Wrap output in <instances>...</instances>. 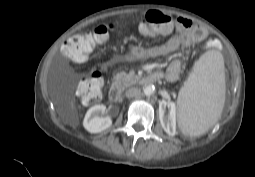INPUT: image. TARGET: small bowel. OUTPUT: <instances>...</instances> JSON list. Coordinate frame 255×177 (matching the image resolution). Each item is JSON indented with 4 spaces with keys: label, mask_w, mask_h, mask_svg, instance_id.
Wrapping results in <instances>:
<instances>
[{
    "label": "small bowel",
    "mask_w": 255,
    "mask_h": 177,
    "mask_svg": "<svg viewBox=\"0 0 255 177\" xmlns=\"http://www.w3.org/2000/svg\"><path fill=\"white\" fill-rule=\"evenodd\" d=\"M172 28L171 26V29L166 33H169ZM205 36L206 32L203 28L194 26L187 18L180 17L176 21L175 33L164 43L150 48L140 46L132 47L125 55V60L135 61L162 58L173 54L181 46H187L193 42L203 40ZM210 41L215 43V39H211ZM182 68V62L179 59L173 60L166 71L167 81L176 82L182 73Z\"/></svg>",
    "instance_id": "obj_1"
}]
</instances>
